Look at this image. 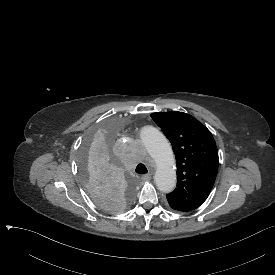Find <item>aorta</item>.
<instances>
[{
  "mask_svg": "<svg viewBox=\"0 0 275 275\" xmlns=\"http://www.w3.org/2000/svg\"><path fill=\"white\" fill-rule=\"evenodd\" d=\"M140 137L147 146L151 164L157 167L154 175L157 189L163 193L172 192L176 186V170L173 152L166 137L150 125L142 127Z\"/></svg>",
  "mask_w": 275,
  "mask_h": 275,
  "instance_id": "1",
  "label": "aorta"
}]
</instances>
